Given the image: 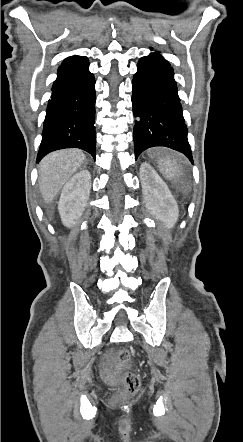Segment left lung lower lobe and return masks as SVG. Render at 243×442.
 <instances>
[{
  "label": "left lung lower lobe",
  "mask_w": 243,
  "mask_h": 442,
  "mask_svg": "<svg viewBox=\"0 0 243 442\" xmlns=\"http://www.w3.org/2000/svg\"><path fill=\"white\" fill-rule=\"evenodd\" d=\"M137 68L132 82L135 159L150 147L164 146L193 163L173 69L158 53L142 57Z\"/></svg>",
  "instance_id": "1"
}]
</instances>
